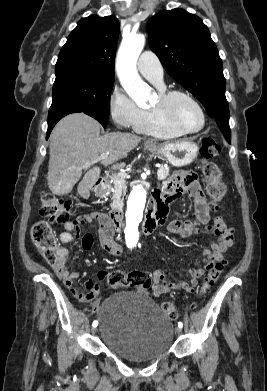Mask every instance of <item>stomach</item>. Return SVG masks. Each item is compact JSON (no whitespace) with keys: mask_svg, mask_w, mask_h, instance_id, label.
I'll return each instance as SVG.
<instances>
[{"mask_svg":"<svg viewBox=\"0 0 267 391\" xmlns=\"http://www.w3.org/2000/svg\"><path fill=\"white\" fill-rule=\"evenodd\" d=\"M148 149L164 157L171 165L183 167L191 164L198 155V145L190 140H182L169 144L154 143ZM102 188L97 190V195L102 193Z\"/></svg>","mask_w":267,"mask_h":391,"instance_id":"1","label":"stomach"}]
</instances>
